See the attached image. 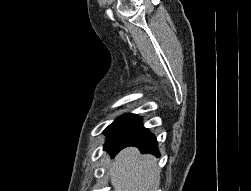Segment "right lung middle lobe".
I'll use <instances>...</instances> for the list:
<instances>
[{
	"instance_id": "dd1d6c3e",
	"label": "right lung middle lobe",
	"mask_w": 251,
	"mask_h": 191,
	"mask_svg": "<svg viewBox=\"0 0 251 191\" xmlns=\"http://www.w3.org/2000/svg\"><path fill=\"white\" fill-rule=\"evenodd\" d=\"M137 118L138 115L136 114H126L115 120L104 131V133L107 135L106 142H109L111 139L119 135L122 131L129 127Z\"/></svg>"
}]
</instances>
